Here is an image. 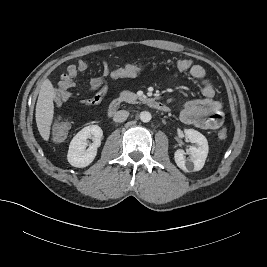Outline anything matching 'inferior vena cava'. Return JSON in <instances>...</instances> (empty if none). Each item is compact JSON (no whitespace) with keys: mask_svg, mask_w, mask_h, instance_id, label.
<instances>
[{"mask_svg":"<svg viewBox=\"0 0 267 267\" xmlns=\"http://www.w3.org/2000/svg\"><path fill=\"white\" fill-rule=\"evenodd\" d=\"M129 116V112L128 111H125V110H120L118 112L115 113L114 117H113V120L115 122H124Z\"/></svg>","mask_w":267,"mask_h":267,"instance_id":"obj_1","label":"inferior vena cava"}]
</instances>
